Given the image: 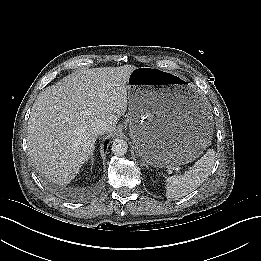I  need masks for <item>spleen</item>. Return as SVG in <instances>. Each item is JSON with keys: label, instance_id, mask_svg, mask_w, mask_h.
Masks as SVG:
<instances>
[{"label": "spleen", "instance_id": "spleen-1", "mask_svg": "<svg viewBox=\"0 0 261 261\" xmlns=\"http://www.w3.org/2000/svg\"><path fill=\"white\" fill-rule=\"evenodd\" d=\"M215 163V151L209 149L188 171L166 179V197L178 199L197 189Z\"/></svg>", "mask_w": 261, "mask_h": 261}]
</instances>
